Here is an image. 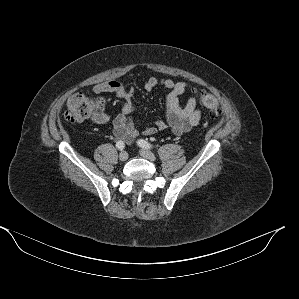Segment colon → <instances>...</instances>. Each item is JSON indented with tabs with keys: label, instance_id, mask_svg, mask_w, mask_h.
Instances as JSON below:
<instances>
[{
	"label": "colon",
	"instance_id": "1",
	"mask_svg": "<svg viewBox=\"0 0 299 299\" xmlns=\"http://www.w3.org/2000/svg\"><path fill=\"white\" fill-rule=\"evenodd\" d=\"M197 97L209 109L212 116L220 115L219 102L213 94L200 91ZM104 104L103 98H90L83 94H74L67 101L65 117L70 122L80 123L95 116Z\"/></svg>",
	"mask_w": 299,
	"mask_h": 299
}]
</instances>
